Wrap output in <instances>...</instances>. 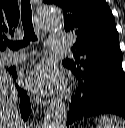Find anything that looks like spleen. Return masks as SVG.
Masks as SVG:
<instances>
[{
	"mask_svg": "<svg viewBox=\"0 0 125 128\" xmlns=\"http://www.w3.org/2000/svg\"><path fill=\"white\" fill-rule=\"evenodd\" d=\"M97 128H125V121L103 115L98 119Z\"/></svg>",
	"mask_w": 125,
	"mask_h": 128,
	"instance_id": "obj_1",
	"label": "spleen"
}]
</instances>
